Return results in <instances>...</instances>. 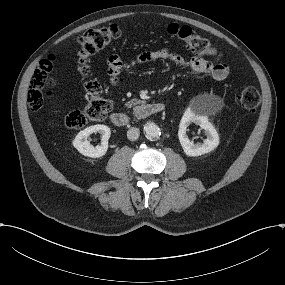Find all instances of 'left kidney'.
Wrapping results in <instances>:
<instances>
[{"label":"left kidney","instance_id":"left-kidney-1","mask_svg":"<svg viewBox=\"0 0 285 285\" xmlns=\"http://www.w3.org/2000/svg\"><path fill=\"white\" fill-rule=\"evenodd\" d=\"M188 125L186 122H181L178 131L179 141L186 155L200 156L211 152L219 145V135L208 120L202 119L200 121V127L205 130L207 136V139H205L202 144H194L193 141L189 140L186 134Z\"/></svg>","mask_w":285,"mask_h":285}]
</instances>
